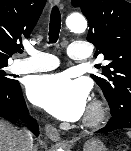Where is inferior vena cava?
Listing matches in <instances>:
<instances>
[{
	"mask_svg": "<svg viewBox=\"0 0 131 151\" xmlns=\"http://www.w3.org/2000/svg\"><path fill=\"white\" fill-rule=\"evenodd\" d=\"M18 136H19V145L20 149L19 151H33V137L32 133L27 130L23 129L18 131Z\"/></svg>",
	"mask_w": 131,
	"mask_h": 151,
	"instance_id": "obj_1",
	"label": "inferior vena cava"
}]
</instances>
